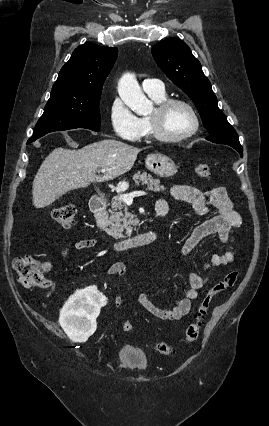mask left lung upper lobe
<instances>
[{
	"label": "left lung upper lobe",
	"mask_w": 269,
	"mask_h": 426,
	"mask_svg": "<svg viewBox=\"0 0 269 426\" xmlns=\"http://www.w3.org/2000/svg\"><path fill=\"white\" fill-rule=\"evenodd\" d=\"M152 55L161 70L194 102L209 133L207 140L240 145L235 129L218 108L212 86L188 45L178 38H168L152 47Z\"/></svg>",
	"instance_id": "1"
}]
</instances>
